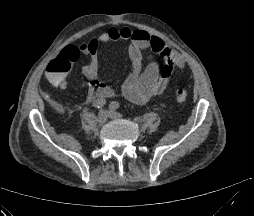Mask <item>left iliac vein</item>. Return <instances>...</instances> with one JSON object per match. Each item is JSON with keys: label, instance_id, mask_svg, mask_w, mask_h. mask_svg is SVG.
I'll return each instance as SVG.
<instances>
[{"label": "left iliac vein", "instance_id": "4c4485c4", "mask_svg": "<svg viewBox=\"0 0 254 216\" xmlns=\"http://www.w3.org/2000/svg\"><path fill=\"white\" fill-rule=\"evenodd\" d=\"M121 115L115 111H109L108 112V117L111 119H116L119 118Z\"/></svg>", "mask_w": 254, "mask_h": 216}]
</instances>
